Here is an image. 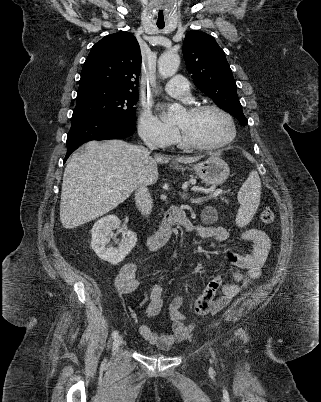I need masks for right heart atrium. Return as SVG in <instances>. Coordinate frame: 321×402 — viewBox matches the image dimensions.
<instances>
[{"mask_svg": "<svg viewBox=\"0 0 321 402\" xmlns=\"http://www.w3.org/2000/svg\"><path fill=\"white\" fill-rule=\"evenodd\" d=\"M138 133L143 141L159 148L172 145L177 138L175 128L159 120L149 109L139 116Z\"/></svg>", "mask_w": 321, "mask_h": 402, "instance_id": "d8ad5b80", "label": "right heart atrium"}]
</instances>
